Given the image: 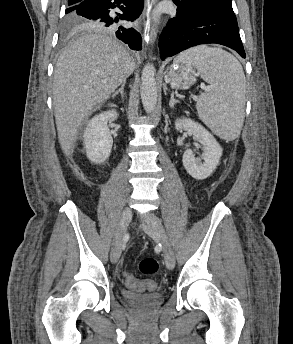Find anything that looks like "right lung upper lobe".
Instances as JSON below:
<instances>
[{
  "mask_svg": "<svg viewBox=\"0 0 293 344\" xmlns=\"http://www.w3.org/2000/svg\"><path fill=\"white\" fill-rule=\"evenodd\" d=\"M80 1L82 0H68V5H76Z\"/></svg>",
  "mask_w": 293,
  "mask_h": 344,
  "instance_id": "cb5924a9",
  "label": "right lung upper lobe"
}]
</instances>
